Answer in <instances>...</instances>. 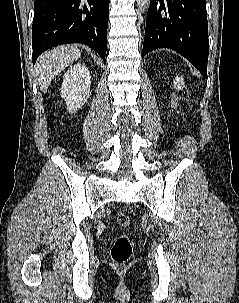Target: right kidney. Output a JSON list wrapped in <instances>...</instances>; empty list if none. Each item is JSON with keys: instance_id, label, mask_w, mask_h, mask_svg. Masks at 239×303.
<instances>
[{"instance_id": "right-kidney-1", "label": "right kidney", "mask_w": 239, "mask_h": 303, "mask_svg": "<svg viewBox=\"0 0 239 303\" xmlns=\"http://www.w3.org/2000/svg\"><path fill=\"white\" fill-rule=\"evenodd\" d=\"M91 76L88 68L80 63L71 66L64 74L61 97L69 111L83 107L89 98Z\"/></svg>"}]
</instances>
